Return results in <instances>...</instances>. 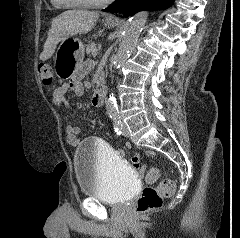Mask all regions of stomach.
<instances>
[{
	"label": "stomach",
	"mask_w": 240,
	"mask_h": 238,
	"mask_svg": "<svg viewBox=\"0 0 240 238\" xmlns=\"http://www.w3.org/2000/svg\"><path fill=\"white\" fill-rule=\"evenodd\" d=\"M114 27L117 23H106ZM84 58V46L78 38L67 37L62 40L54 56V71L61 79H69L81 65Z\"/></svg>",
	"instance_id": "stomach-1"
}]
</instances>
